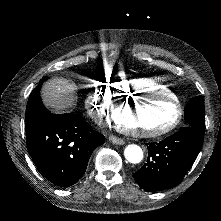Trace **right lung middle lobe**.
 Returning a JSON list of instances; mask_svg holds the SVG:
<instances>
[{"label":"right lung middle lobe","instance_id":"right-lung-middle-lobe-1","mask_svg":"<svg viewBox=\"0 0 221 221\" xmlns=\"http://www.w3.org/2000/svg\"><path fill=\"white\" fill-rule=\"evenodd\" d=\"M45 80H47V77H43L42 80H40V84L31 92L27 102L25 119H27L30 116L48 111L43 106L40 98V89L42 87V83Z\"/></svg>","mask_w":221,"mask_h":221}]
</instances>
